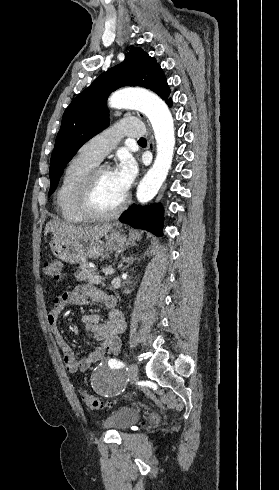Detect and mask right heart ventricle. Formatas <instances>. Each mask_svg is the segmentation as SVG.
Wrapping results in <instances>:
<instances>
[{
  "label": "right heart ventricle",
  "instance_id": "obj_1",
  "mask_svg": "<svg viewBox=\"0 0 279 490\" xmlns=\"http://www.w3.org/2000/svg\"><path fill=\"white\" fill-rule=\"evenodd\" d=\"M96 166L97 164L78 154L63 170L57 202L62 218L70 224L80 225L90 220L81 209L80 197L86 176Z\"/></svg>",
  "mask_w": 279,
  "mask_h": 490
}]
</instances>
